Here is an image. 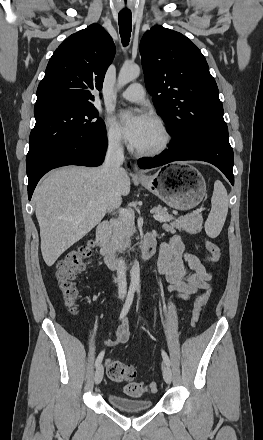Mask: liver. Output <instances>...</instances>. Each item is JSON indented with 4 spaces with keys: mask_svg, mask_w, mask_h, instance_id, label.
I'll return each instance as SVG.
<instances>
[{
    "mask_svg": "<svg viewBox=\"0 0 263 440\" xmlns=\"http://www.w3.org/2000/svg\"><path fill=\"white\" fill-rule=\"evenodd\" d=\"M130 185L124 170L118 179L120 194L128 195ZM108 194L103 167H63L36 187L33 200L47 266L100 223L109 211Z\"/></svg>",
    "mask_w": 263,
    "mask_h": 440,
    "instance_id": "6515ba94",
    "label": "liver"
}]
</instances>
